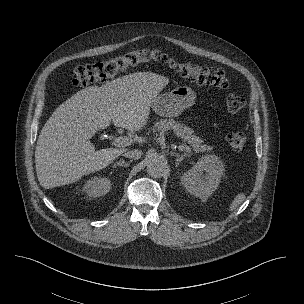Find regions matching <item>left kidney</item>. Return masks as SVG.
Masks as SVG:
<instances>
[{
    "instance_id": "obj_1",
    "label": "left kidney",
    "mask_w": 304,
    "mask_h": 304,
    "mask_svg": "<svg viewBox=\"0 0 304 304\" xmlns=\"http://www.w3.org/2000/svg\"><path fill=\"white\" fill-rule=\"evenodd\" d=\"M224 171V165L217 156H203L182 175L181 182L190 194L206 200L217 189Z\"/></svg>"
}]
</instances>
